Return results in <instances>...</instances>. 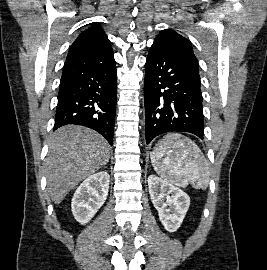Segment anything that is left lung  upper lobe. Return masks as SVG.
Masks as SVG:
<instances>
[{
    "label": "left lung upper lobe",
    "mask_w": 267,
    "mask_h": 270,
    "mask_svg": "<svg viewBox=\"0 0 267 270\" xmlns=\"http://www.w3.org/2000/svg\"><path fill=\"white\" fill-rule=\"evenodd\" d=\"M160 45L181 57L186 62L198 69V61L194 55L190 42L172 29L161 31L155 38L154 43Z\"/></svg>",
    "instance_id": "5c2ea615"
}]
</instances>
